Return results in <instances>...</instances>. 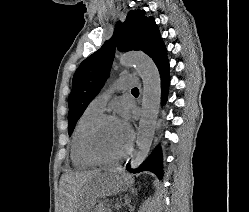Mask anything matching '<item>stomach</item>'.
I'll list each match as a JSON object with an SVG mask.
<instances>
[{"mask_svg":"<svg viewBox=\"0 0 249 212\" xmlns=\"http://www.w3.org/2000/svg\"><path fill=\"white\" fill-rule=\"evenodd\" d=\"M105 174L93 175V178L86 179L80 212H91L94 204H101V199H96L101 198V193H124L121 184H126V175H115V170H106Z\"/></svg>","mask_w":249,"mask_h":212,"instance_id":"1","label":"stomach"}]
</instances>
